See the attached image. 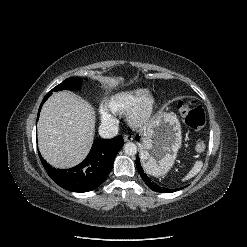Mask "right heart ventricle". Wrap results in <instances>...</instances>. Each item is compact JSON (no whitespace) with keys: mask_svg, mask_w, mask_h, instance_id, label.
<instances>
[{"mask_svg":"<svg viewBox=\"0 0 247 247\" xmlns=\"http://www.w3.org/2000/svg\"><path fill=\"white\" fill-rule=\"evenodd\" d=\"M147 93L148 91L142 88L121 91L110 96L105 101L104 107L107 111L114 114L125 113Z\"/></svg>","mask_w":247,"mask_h":247,"instance_id":"e07e8e85","label":"right heart ventricle"}]
</instances>
